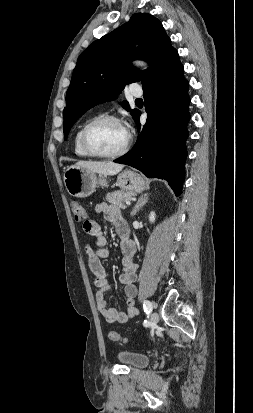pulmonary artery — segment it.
Listing matches in <instances>:
<instances>
[{
    "instance_id": "e3ab8cb5",
    "label": "pulmonary artery",
    "mask_w": 253,
    "mask_h": 413,
    "mask_svg": "<svg viewBox=\"0 0 253 413\" xmlns=\"http://www.w3.org/2000/svg\"><path fill=\"white\" fill-rule=\"evenodd\" d=\"M130 94L134 97H140L142 95V89L137 85L130 87Z\"/></svg>"
}]
</instances>
